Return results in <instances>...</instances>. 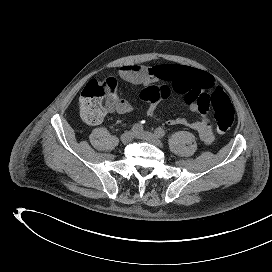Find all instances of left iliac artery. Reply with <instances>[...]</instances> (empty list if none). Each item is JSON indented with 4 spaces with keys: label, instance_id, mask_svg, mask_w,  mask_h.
<instances>
[{
    "label": "left iliac artery",
    "instance_id": "obj_1",
    "mask_svg": "<svg viewBox=\"0 0 272 272\" xmlns=\"http://www.w3.org/2000/svg\"><path fill=\"white\" fill-rule=\"evenodd\" d=\"M155 135H157L158 137L162 138V137H164L166 135V132H165L164 129H162V128L159 127L157 129H155Z\"/></svg>",
    "mask_w": 272,
    "mask_h": 272
}]
</instances>
